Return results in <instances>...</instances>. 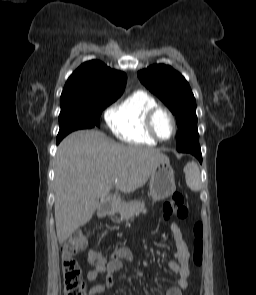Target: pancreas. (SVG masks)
Returning a JSON list of instances; mask_svg holds the SVG:
<instances>
[{"mask_svg": "<svg viewBox=\"0 0 256 295\" xmlns=\"http://www.w3.org/2000/svg\"><path fill=\"white\" fill-rule=\"evenodd\" d=\"M140 212L146 213L144 205L141 203H131L123 207L122 215L125 218L131 217L134 214H139Z\"/></svg>", "mask_w": 256, "mask_h": 295, "instance_id": "obj_1", "label": "pancreas"}]
</instances>
